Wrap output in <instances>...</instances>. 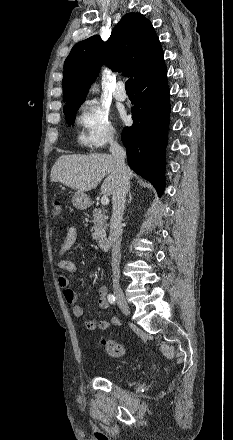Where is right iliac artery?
I'll use <instances>...</instances> for the list:
<instances>
[{
  "label": "right iliac artery",
  "instance_id": "1",
  "mask_svg": "<svg viewBox=\"0 0 233 440\" xmlns=\"http://www.w3.org/2000/svg\"><path fill=\"white\" fill-rule=\"evenodd\" d=\"M108 301H109L111 304H115V296H114L113 294H109V295H108Z\"/></svg>",
  "mask_w": 233,
  "mask_h": 440
}]
</instances>
